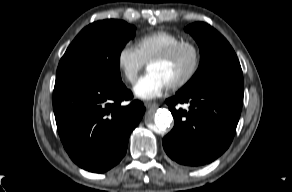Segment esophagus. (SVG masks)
<instances>
[{
  "instance_id": "esophagus-1",
  "label": "esophagus",
  "mask_w": 292,
  "mask_h": 192,
  "mask_svg": "<svg viewBox=\"0 0 292 192\" xmlns=\"http://www.w3.org/2000/svg\"><path fill=\"white\" fill-rule=\"evenodd\" d=\"M144 105L147 109H155L158 107V104L154 102H145Z\"/></svg>"
}]
</instances>
